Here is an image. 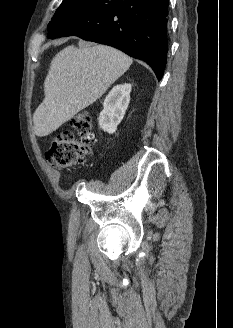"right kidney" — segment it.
I'll list each match as a JSON object with an SVG mask.
<instances>
[{"label":"right kidney","mask_w":233,"mask_h":328,"mask_svg":"<svg viewBox=\"0 0 233 328\" xmlns=\"http://www.w3.org/2000/svg\"><path fill=\"white\" fill-rule=\"evenodd\" d=\"M131 84L124 83L112 88L103 102V110L99 115V127L113 134L122 121L130 102Z\"/></svg>","instance_id":"ca27d5eb"}]
</instances>
